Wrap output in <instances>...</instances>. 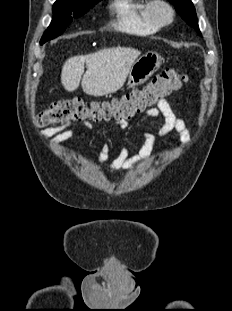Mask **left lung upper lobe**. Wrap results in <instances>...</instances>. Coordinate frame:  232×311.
<instances>
[{"label": "left lung upper lobe", "mask_w": 232, "mask_h": 311, "mask_svg": "<svg viewBox=\"0 0 232 311\" xmlns=\"http://www.w3.org/2000/svg\"><path fill=\"white\" fill-rule=\"evenodd\" d=\"M171 2L180 16L192 26L199 34V26L195 8L191 0H168Z\"/></svg>", "instance_id": "1"}]
</instances>
